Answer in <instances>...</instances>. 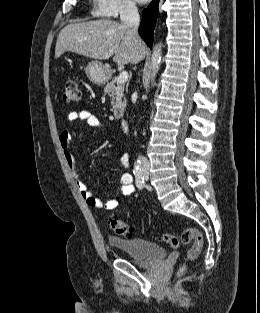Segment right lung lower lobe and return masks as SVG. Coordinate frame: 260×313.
<instances>
[{"label": "right lung lower lobe", "mask_w": 260, "mask_h": 313, "mask_svg": "<svg viewBox=\"0 0 260 313\" xmlns=\"http://www.w3.org/2000/svg\"><path fill=\"white\" fill-rule=\"evenodd\" d=\"M159 0H153L147 9L143 10L142 21L139 28V34L151 48L153 42L154 29L158 14Z\"/></svg>", "instance_id": "obj_1"}]
</instances>
